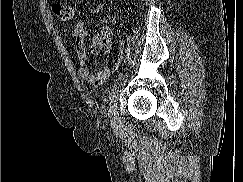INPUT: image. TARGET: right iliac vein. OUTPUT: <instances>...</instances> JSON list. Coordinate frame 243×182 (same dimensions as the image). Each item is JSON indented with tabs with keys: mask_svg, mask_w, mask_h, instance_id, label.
<instances>
[{
	"mask_svg": "<svg viewBox=\"0 0 243 182\" xmlns=\"http://www.w3.org/2000/svg\"><path fill=\"white\" fill-rule=\"evenodd\" d=\"M116 107H117L116 99L114 97L112 99V101L110 102V106H109V114H110V118H111V124L113 127H116L117 123H118Z\"/></svg>",
	"mask_w": 243,
	"mask_h": 182,
	"instance_id": "1",
	"label": "right iliac vein"
}]
</instances>
